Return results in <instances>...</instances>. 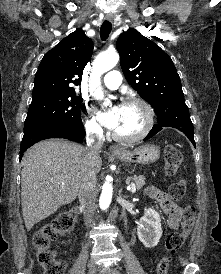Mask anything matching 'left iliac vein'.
Segmentation results:
<instances>
[{"mask_svg": "<svg viewBox=\"0 0 221 274\" xmlns=\"http://www.w3.org/2000/svg\"><path fill=\"white\" fill-rule=\"evenodd\" d=\"M105 274H120V272L116 269H110V270H107Z\"/></svg>", "mask_w": 221, "mask_h": 274, "instance_id": "obj_1", "label": "left iliac vein"}]
</instances>
